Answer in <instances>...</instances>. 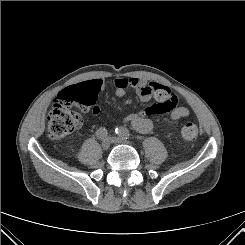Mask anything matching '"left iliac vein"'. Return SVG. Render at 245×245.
Here are the masks:
<instances>
[{
    "mask_svg": "<svg viewBox=\"0 0 245 245\" xmlns=\"http://www.w3.org/2000/svg\"><path fill=\"white\" fill-rule=\"evenodd\" d=\"M108 139L110 143H113V144H131L130 141L124 138H120V137H109Z\"/></svg>",
    "mask_w": 245,
    "mask_h": 245,
    "instance_id": "4c4485c4",
    "label": "left iliac vein"
}]
</instances>
